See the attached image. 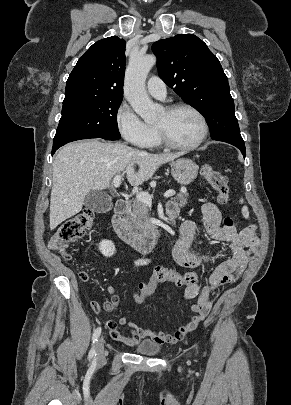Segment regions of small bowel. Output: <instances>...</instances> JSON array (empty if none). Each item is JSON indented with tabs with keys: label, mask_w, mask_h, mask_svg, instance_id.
Instances as JSON below:
<instances>
[{
	"label": "small bowel",
	"mask_w": 291,
	"mask_h": 405,
	"mask_svg": "<svg viewBox=\"0 0 291 405\" xmlns=\"http://www.w3.org/2000/svg\"><path fill=\"white\" fill-rule=\"evenodd\" d=\"M201 212L204 227L210 239L218 243H229L232 255L212 270L206 285L200 287L198 284H194L185 287V297L187 299H196V302L191 306L195 315L173 334L145 329L130 321L127 317H121L118 324L128 326L131 330V335L127 336L119 332L116 322L108 321L106 326L114 340L128 346H132L145 338L160 344L178 343L207 317L212 305L211 295L213 291L218 287L233 283L241 277L258 247L255 228L248 226L238 232L235 227L221 225L222 215L217 206L211 202L202 204ZM195 230L196 223L193 220H186L181 225L179 239L173 249V258L180 267L192 269L211 260L209 255H198L189 250ZM108 291L111 297L104 303L103 307L105 311L113 312L117 309L120 299L112 287H109ZM91 306L95 313L99 312V305L96 302H92Z\"/></svg>",
	"instance_id": "obj_1"
}]
</instances>
